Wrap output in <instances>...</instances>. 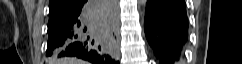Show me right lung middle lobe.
Listing matches in <instances>:
<instances>
[{
  "instance_id": "1",
  "label": "right lung middle lobe",
  "mask_w": 242,
  "mask_h": 64,
  "mask_svg": "<svg viewBox=\"0 0 242 64\" xmlns=\"http://www.w3.org/2000/svg\"><path fill=\"white\" fill-rule=\"evenodd\" d=\"M71 17V13H49L48 29L52 27L57 21Z\"/></svg>"
}]
</instances>
